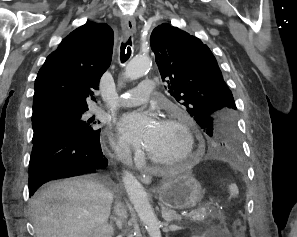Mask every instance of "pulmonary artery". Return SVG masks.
Wrapping results in <instances>:
<instances>
[{"mask_svg": "<svg viewBox=\"0 0 297 237\" xmlns=\"http://www.w3.org/2000/svg\"><path fill=\"white\" fill-rule=\"evenodd\" d=\"M155 90V81L150 78L144 79L137 88L122 94L114 102L116 107L136 106L144 103L153 94Z\"/></svg>", "mask_w": 297, "mask_h": 237, "instance_id": "obj_1", "label": "pulmonary artery"}]
</instances>
